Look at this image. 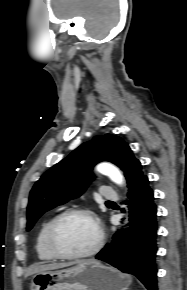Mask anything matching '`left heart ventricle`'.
I'll list each match as a JSON object with an SVG mask.
<instances>
[{
	"mask_svg": "<svg viewBox=\"0 0 187 290\" xmlns=\"http://www.w3.org/2000/svg\"><path fill=\"white\" fill-rule=\"evenodd\" d=\"M97 231L90 219L75 215L64 219L56 231L59 248L68 253H82L92 248Z\"/></svg>",
	"mask_w": 187,
	"mask_h": 290,
	"instance_id": "1",
	"label": "left heart ventricle"
}]
</instances>
